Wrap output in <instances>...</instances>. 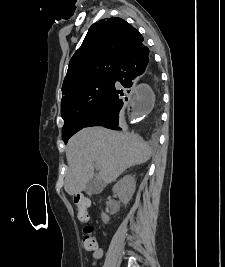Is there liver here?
I'll return each instance as SVG.
<instances>
[{"label":"liver","mask_w":225,"mask_h":267,"mask_svg":"<svg viewBox=\"0 0 225 267\" xmlns=\"http://www.w3.org/2000/svg\"><path fill=\"white\" fill-rule=\"evenodd\" d=\"M66 156L69 170L64 188L74 195L87 189L94 176V162H97L98 179L108 184L127 168L147 162L151 148L138 135L88 127L69 140Z\"/></svg>","instance_id":"1"}]
</instances>
